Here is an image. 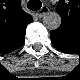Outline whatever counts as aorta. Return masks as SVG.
<instances>
[{
	"mask_svg": "<svg viewBox=\"0 0 80 80\" xmlns=\"http://www.w3.org/2000/svg\"><path fill=\"white\" fill-rule=\"evenodd\" d=\"M53 17H55V19H57V22H56V24H55V27L57 28V27H59V24H60V16L58 15V14H52V15H50V18H53Z\"/></svg>",
	"mask_w": 80,
	"mask_h": 80,
	"instance_id": "762f6f07",
	"label": "aorta"
}]
</instances>
